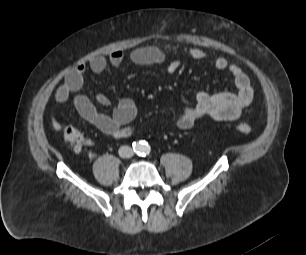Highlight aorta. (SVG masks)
Wrapping results in <instances>:
<instances>
[{"label": "aorta", "instance_id": "aorta-1", "mask_svg": "<svg viewBox=\"0 0 306 255\" xmlns=\"http://www.w3.org/2000/svg\"><path fill=\"white\" fill-rule=\"evenodd\" d=\"M136 150L139 153H148L150 151V147L147 144L139 143L136 145Z\"/></svg>", "mask_w": 306, "mask_h": 255}]
</instances>
